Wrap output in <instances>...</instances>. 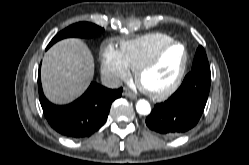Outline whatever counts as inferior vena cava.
I'll list each match as a JSON object with an SVG mask.
<instances>
[{
  "label": "inferior vena cava",
  "instance_id": "inferior-vena-cava-1",
  "mask_svg": "<svg viewBox=\"0 0 249 165\" xmlns=\"http://www.w3.org/2000/svg\"><path fill=\"white\" fill-rule=\"evenodd\" d=\"M101 81L105 87L112 89L119 88L122 85V81L118 77L111 74L103 75L101 77Z\"/></svg>",
  "mask_w": 249,
  "mask_h": 165
}]
</instances>
